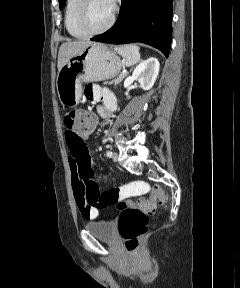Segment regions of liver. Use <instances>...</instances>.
Segmentation results:
<instances>
[{
	"mask_svg": "<svg viewBox=\"0 0 240 288\" xmlns=\"http://www.w3.org/2000/svg\"><path fill=\"white\" fill-rule=\"evenodd\" d=\"M92 42L89 40H79L63 43L59 48L58 53V71L63 67V65L73 56L77 55L83 51Z\"/></svg>",
	"mask_w": 240,
	"mask_h": 288,
	"instance_id": "obj_1",
	"label": "liver"
}]
</instances>
